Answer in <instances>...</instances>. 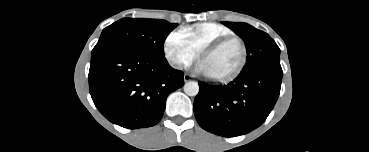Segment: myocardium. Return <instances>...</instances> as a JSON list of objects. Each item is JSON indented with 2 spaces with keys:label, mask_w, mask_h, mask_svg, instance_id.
Returning <instances> with one entry per match:
<instances>
[{
  "label": "myocardium",
  "mask_w": 369,
  "mask_h": 152,
  "mask_svg": "<svg viewBox=\"0 0 369 152\" xmlns=\"http://www.w3.org/2000/svg\"><path fill=\"white\" fill-rule=\"evenodd\" d=\"M229 42L238 43V45L240 46V49H241V60L238 64V66L232 72H230L229 74H226V75H223V76H215V77L214 76H207L213 82L225 83V82H229V81L235 79L243 71V69H244V67L247 63L248 51H247L246 44L244 43V41L241 38H239L237 36H234V35L221 37L219 39H216V40L212 41L211 43L207 44L206 46H204L201 49V51L199 52V59H202L203 56L206 55L207 53L215 51V50L219 49L220 47H222L223 45H225Z\"/></svg>",
  "instance_id": "myocardium-1"
}]
</instances>
